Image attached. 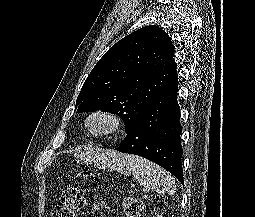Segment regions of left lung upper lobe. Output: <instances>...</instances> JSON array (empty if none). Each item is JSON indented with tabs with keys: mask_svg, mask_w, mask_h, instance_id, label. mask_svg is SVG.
<instances>
[{
	"mask_svg": "<svg viewBox=\"0 0 255 217\" xmlns=\"http://www.w3.org/2000/svg\"><path fill=\"white\" fill-rule=\"evenodd\" d=\"M174 45L155 25L114 44L94 66L77 97V113L119 115L126 133L153 99L177 76Z\"/></svg>",
	"mask_w": 255,
	"mask_h": 217,
	"instance_id": "left-lung-upper-lobe-1",
	"label": "left lung upper lobe"
}]
</instances>
